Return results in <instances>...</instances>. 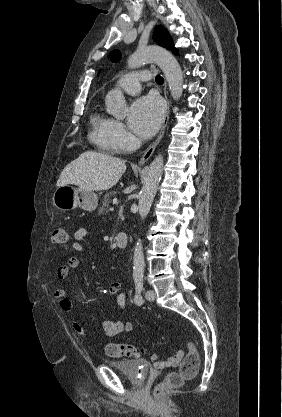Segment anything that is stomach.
Listing matches in <instances>:
<instances>
[{
    "mask_svg": "<svg viewBox=\"0 0 282 417\" xmlns=\"http://www.w3.org/2000/svg\"><path fill=\"white\" fill-rule=\"evenodd\" d=\"M53 206L57 211H73V209H83L92 213L97 209L98 196L92 190H83V188H75L71 184H62L57 186L52 196Z\"/></svg>",
    "mask_w": 282,
    "mask_h": 417,
    "instance_id": "obj_1",
    "label": "stomach"
}]
</instances>
